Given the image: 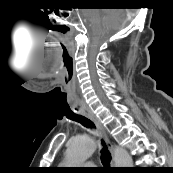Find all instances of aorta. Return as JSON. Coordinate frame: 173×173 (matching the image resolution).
I'll use <instances>...</instances> for the list:
<instances>
[{"label":"aorta","mask_w":173,"mask_h":173,"mask_svg":"<svg viewBox=\"0 0 173 173\" xmlns=\"http://www.w3.org/2000/svg\"><path fill=\"white\" fill-rule=\"evenodd\" d=\"M96 150V142L89 136H80L74 138L66 151V164L69 167L85 162ZM115 167H132L133 160L127 150L116 146L114 148Z\"/></svg>","instance_id":"1"}]
</instances>
